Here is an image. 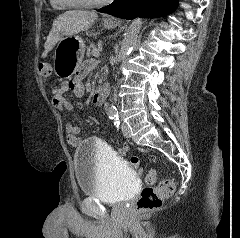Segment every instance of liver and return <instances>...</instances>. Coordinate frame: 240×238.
<instances>
[{
	"label": "liver",
	"instance_id": "obj_1",
	"mask_svg": "<svg viewBox=\"0 0 240 238\" xmlns=\"http://www.w3.org/2000/svg\"><path fill=\"white\" fill-rule=\"evenodd\" d=\"M97 18L98 15L95 12L80 10H70L59 15L54 20L45 42L42 58L47 57L48 53L63 36H71L81 31H87Z\"/></svg>",
	"mask_w": 240,
	"mask_h": 238
}]
</instances>
